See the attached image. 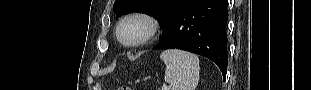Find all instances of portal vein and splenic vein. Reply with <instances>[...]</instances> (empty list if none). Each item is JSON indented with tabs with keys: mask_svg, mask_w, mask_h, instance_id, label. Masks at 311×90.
Here are the masks:
<instances>
[{
	"mask_svg": "<svg viewBox=\"0 0 311 90\" xmlns=\"http://www.w3.org/2000/svg\"><path fill=\"white\" fill-rule=\"evenodd\" d=\"M163 89H164V90H169V89H170V86H164Z\"/></svg>",
	"mask_w": 311,
	"mask_h": 90,
	"instance_id": "1",
	"label": "portal vein and splenic vein"
}]
</instances>
